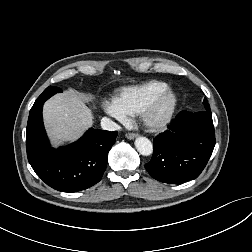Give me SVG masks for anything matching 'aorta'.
<instances>
[{
    "mask_svg": "<svg viewBox=\"0 0 252 252\" xmlns=\"http://www.w3.org/2000/svg\"><path fill=\"white\" fill-rule=\"evenodd\" d=\"M135 147L137 151L143 156H149L153 152V145L146 137H138L135 140Z\"/></svg>",
    "mask_w": 252,
    "mask_h": 252,
    "instance_id": "obj_1",
    "label": "aorta"
}]
</instances>
